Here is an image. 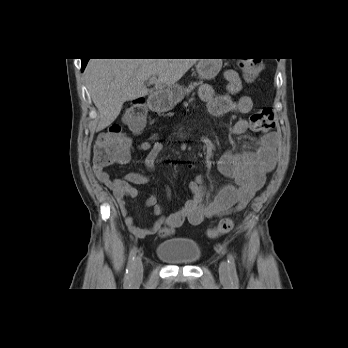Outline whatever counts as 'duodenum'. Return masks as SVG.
I'll return each mask as SVG.
<instances>
[{
	"label": "duodenum",
	"instance_id": "1",
	"mask_svg": "<svg viewBox=\"0 0 348 348\" xmlns=\"http://www.w3.org/2000/svg\"><path fill=\"white\" fill-rule=\"evenodd\" d=\"M160 100V98L157 95H152L150 97V105L154 108L155 104Z\"/></svg>",
	"mask_w": 348,
	"mask_h": 348
}]
</instances>
